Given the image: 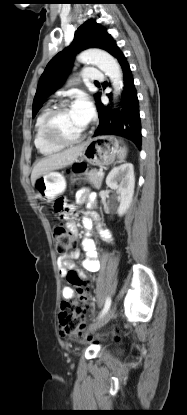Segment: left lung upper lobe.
Wrapping results in <instances>:
<instances>
[{
  "mask_svg": "<svg viewBox=\"0 0 187 415\" xmlns=\"http://www.w3.org/2000/svg\"><path fill=\"white\" fill-rule=\"evenodd\" d=\"M114 40L99 24L88 20L75 32L70 46L55 55L47 64L41 75L33 101V117L45 99L57 90L65 81L73 64L75 55L87 48H100L108 51ZM100 93L95 94L96 101Z\"/></svg>",
  "mask_w": 187,
  "mask_h": 415,
  "instance_id": "obj_1",
  "label": "left lung upper lobe"
}]
</instances>
